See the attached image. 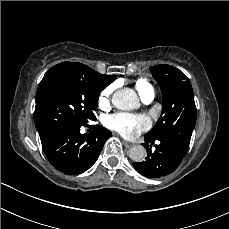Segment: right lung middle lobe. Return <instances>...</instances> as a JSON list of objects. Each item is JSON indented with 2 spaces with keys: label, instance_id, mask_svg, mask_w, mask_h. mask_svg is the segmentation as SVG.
Listing matches in <instances>:
<instances>
[{
  "label": "right lung middle lobe",
  "instance_id": "1",
  "mask_svg": "<svg viewBox=\"0 0 229 229\" xmlns=\"http://www.w3.org/2000/svg\"><path fill=\"white\" fill-rule=\"evenodd\" d=\"M99 93L72 69L54 66L48 70L38 86L34 112L41 143L64 127L95 121Z\"/></svg>",
  "mask_w": 229,
  "mask_h": 229
}]
</instances>
